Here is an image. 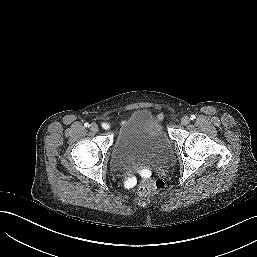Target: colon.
<instances>
[{"mask_svg":"<svg viewBox=\"0 0 257 257\" xmlns=\"http://www.w3.org/2000/svg\"><path fill=\"white\" fill-rule=\"evenodd\" d=\"M157 120L161 117L158 115ZM165 184L161 179L147 178L142 180L138 185V193L141 196H147L154 192H158L164 188Z\"/></svg>","mask_w":257,"mask_h":257,"instance_id":"colon-1","label":"colon"}]
</instances>
